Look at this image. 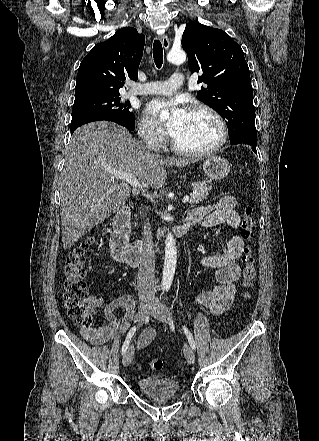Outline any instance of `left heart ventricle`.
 I'll return each instance as SVG.
<instances>
[{
    "label": "left heart ventricle",
    "instance_id": "b2bd125f",
    "mask_svg": "<svg viewBox=\"0 0 319 441\" xmlns=\"http://www.w3.org/2000/svg\"><path fill=\"white\" fill-rule=\"evenodd\" d=\"M219 135L217 122L208 113L197 111L187 112L173 138L182 148L203 150L213 146Z\"/></svg>",
    "mask_w": 319,
    "mask_h": 441
}]
</instances>
